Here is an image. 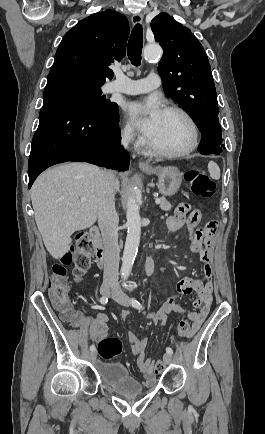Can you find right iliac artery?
<instances>
[{"label": "right iliac artery", "mask_w": 265, "mask_h": 434, "mask_svg": "<svg viewBox=\"0 0 265 434\" xmlns=\"http://www.w3.org/2000/svg\"><path fill=\"white\" fill-rule=\"evenodd\" d=\"M100 302H101V304H106V303L108 302V298L105 297V296H102V297L100 298ZM90 350H91V351H94V350H95V346H94V345H91V346H90Z\"/></svg>", "instance_id": "right-iliac-artery-1"}]
</instances>
